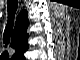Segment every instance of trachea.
Here are the masks:
<instances>
[{
  "mask_svg": "<svg viewBox=\"0 0 80 60\" xmlns=\"http://www.w3.org/2000/svg\"><path fill=\"white\" fill-rule=\"evenodd\" d=\"M8 22L4 31L3 39L4 43L8 44L10 41V36L13 29V23H14V17L16 14V10L18 7V1L17 0H8ZM7 52H4V54Z\"/></svg>",
  "mask_w": 80,
  "mask_h": 60,
  "instance_id": "trachea-1",
  "label": "trachea"
}]
</instances>
